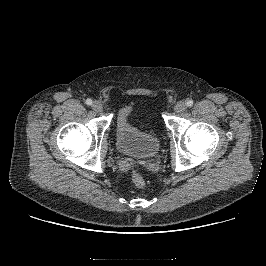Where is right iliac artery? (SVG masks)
<instances>
[{"instance_id": "obj_1", "label": "right iliac artery", "mask_w": 266, "mask_h": 266, "mask_svg": "<svg viewBox=\"0 0 266 266\" xmlns=\"http://www.w3.org/2000/svg\"><path fill=\"white\" fill-rule=\"evenodd\" d=\"M86 104H87V105H91V104H92V100H91V99H87V100H86Z\"/></svg>"}]
</instances>
